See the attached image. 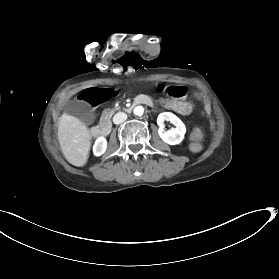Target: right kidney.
<instances>
[{
	"mask_svg": "<svg viewBox=\"0 0 279 279\" xmlns=\"http://www.w3.org/2000/svg\"><path fill=\"white\" fill-rule=\"evenodd\" d=\"M107 148V141L104 137H99L93 146V152L95 156L102 155Z\"/></svg>",
	"mask_w": 279,
	"mask_h": 279,
	"instance_id": "right-kidney-1",
	"label": "right kidney"
}]
</instances>
